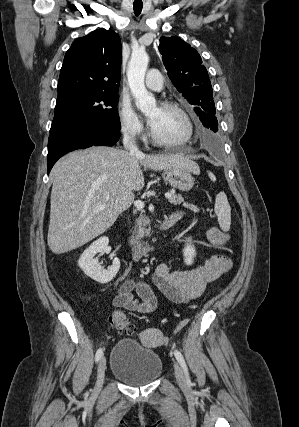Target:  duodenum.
Here are the masks:
<instances>
[{
    "label": "duodenum",
    "instance_id": "duodenum-1",
    "mask_svg": "<svg viewBox=\"0 0 299 427\" xmlns=\"http://www.w3.org/2000/svg\"><path fill=\"white\" fill-rule=\"evenodd\" d=\"M177 219L174 216H169L167 217L165 220L161 221L158 225H157V229L159 231H165L170 229L175 223H176ZM129 248L131 251L132 256L135 259H140L142 257H144L146 254H148L152 249V245L145 240H141V241H130L129 242Z\"/></svg>",
    "mask_w": 299,
    "mask_h": 427
}]
</instances>
